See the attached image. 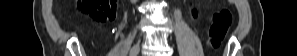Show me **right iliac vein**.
<instances>
[{
    "instance_id": "obj_1",
    "label": "right iliac vein",
    "mask_w": 297,
    "mask_h": 56,
    "mask_svg": "<svg viewBox=\"0 0 297 56\" xmlns=\"http://www.w3.org/2000/svg\"><path fill=\"white\" fill-rule=\"evenodd\" d=\"M140 50L139 44H135L130 50V56H137Z\"/></svg>"
}]
</instances>
